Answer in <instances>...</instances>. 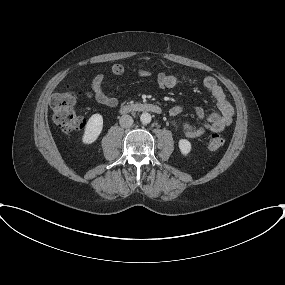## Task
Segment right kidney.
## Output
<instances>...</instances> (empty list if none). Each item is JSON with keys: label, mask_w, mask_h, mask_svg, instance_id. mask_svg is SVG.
I'll return each instance as SVG.
<instances>
[{"label": "right kidney", "mask_w": 285, "mask_h": 285, "mask_svg": "<svg viewBox=\"0 0 285 285\" xmlns=\"http://www.w3.org/2000/svg\"><path fill=\"white\" fill-rule=\"evenodd\" d=\"M103 129V117L96 113L92 115L86 125L82 142L84 144H91L97 140Z\"/></svg>", "instance_id": "1"}]
</instances>
